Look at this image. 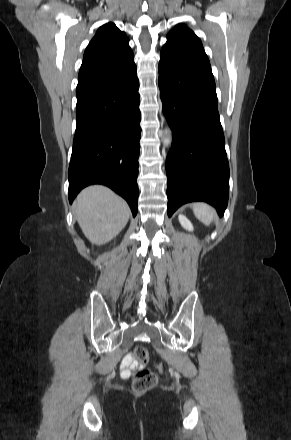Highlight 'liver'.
<instances>
[{"instance_id":"liver-1","label":"liver","mask_w":291,"mask_h":440,"mask_svg":"<svg viewBox=\"0 0 291 440\" xmlns=\"http://www.w3.org/2000/svg\"><path fill=\"white\" fill-rule=\"evenodd\" d=\"M74 211L82 232L95 245L116 237L130 217L126 201L102 185L82 190L75 200Z\"/></svg>"}]
</instances>
